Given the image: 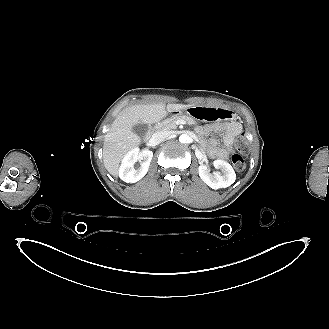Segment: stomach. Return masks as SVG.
<instances>
[{
	"label": "stomach",
	"instance_id": "1",
	"mask_svg": "<svg viewBox=\"0 0 329 329\" xmlns=\"http://www.w3.org/2000/svg\"><path fill=\"white\" fill-rule=\"evenodd\" d=\"M172 113L174 116L185 115L193 120H200L204 122H219L225 119L232 120L234 117L233 112L226 108L209 106H193Z\"/></svg>",
	"mask_w": 329,
	"mask_h": 329
}]
</instances>
